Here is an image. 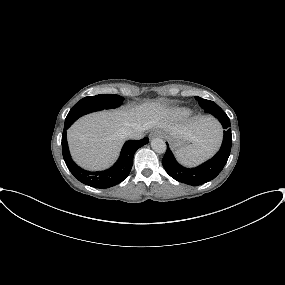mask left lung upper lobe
Listing matches in <instances>:
<instances>
[{"label": "left lung upper lobe", "mask_w": 285, "mask_h": 285, "mask_svg": "<svg viewBox=\"0 0 285 285\" xmlns=\"http://www.w3.org/2000/svg\"><path fill=\"white\" fill-rule=\"evenodd\" d=\"M198 101L200 107L204 109L206 113H213L217 110H222L215 102L200 98L198 96L195 97Z\"/></svg>", "instance_id": "5c2ea615"}]
</instances>
